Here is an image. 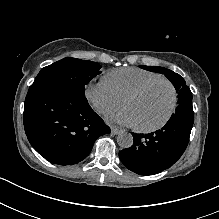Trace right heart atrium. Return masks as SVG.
Instances as JSON below:
<instances>
[{
	"mask_svg": "<svg viewBox=\"0 0 219 219\" xmlns=\"http://www.w3.org/2000/svg\"><path fill=\"white\" fill-rule=\"evenodd\" d=\"M85 96L94 110L105 116L118 111L122 107V101L113 94L104 79L97 84L88 85Z\"/></svg>",
	"mask_w": 219,
	"mask_h": 219,
	"instance_id": "d8ad5b80",
	"label": "right heart atrium"
}]
</instances>
